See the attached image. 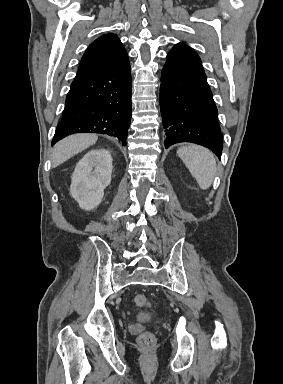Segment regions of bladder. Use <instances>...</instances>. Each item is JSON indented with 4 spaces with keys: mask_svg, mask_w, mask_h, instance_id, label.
Here are the masks:
<instances>
[{
    "mask_svg": "<svg viewBox=\"0 0 283 384\" xmlns=\"http://www.w3.org/2000/svg\"><path fill=\"white\" fill-rule=\"evenodd\" d=\"M144 316H145V317H149V314L145 313Z\"/></svg>",
    "mask_w": 283,
    "mask_h": 384,
    "instance_id": "1",
    "label": "bladder"
}]
</instances>
